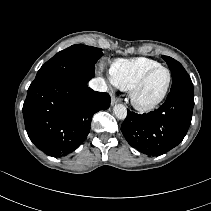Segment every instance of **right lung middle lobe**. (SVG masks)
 <instances>
[{
	"instance_id": "dd1d6c3e",
	"label": "right lung middle lobe",
	"mask_w": 211,
	"mask_h": 211,
	"mask_svg": "<svg viewBox=\"0 0 211 211\" xmlns=\"http://www.w3.org/2000/svg\"><path fill=\"white\" fill-rule=\"evenodd\" d=\"M102 49L82 44L72 45L58 52L38 71L35 80L64 77L89 81L95 76L94 66L102 56Z\"/></svg>"
}]
</instances>
